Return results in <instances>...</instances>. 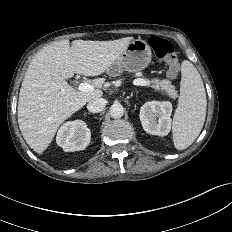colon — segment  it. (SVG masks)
<instances>
[{
	"mask_svg": "<svg viewBox=\"0 0 232 232\" xmlns=\"http://www.w3.org/2000/svg\"><path fill=\"white\" fill-rule=\"evenodd\" d=\"M149 43L157 58L163 60L167 66V74L175 78L179 74L180 65L172 43L160 36H152Z\"/></svg>",
	"mask_w": 232,
	"mask_h": 232,
	"instance_id": "5ec220e1",
	"label": "colon"
}]
</instances>
